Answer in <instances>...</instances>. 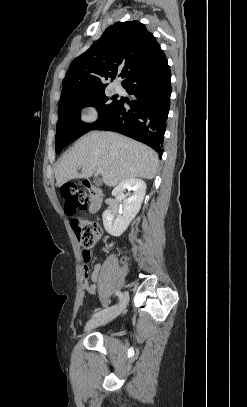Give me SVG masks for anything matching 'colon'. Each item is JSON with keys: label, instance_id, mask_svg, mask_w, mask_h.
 Returning a JSON list of instances; mask_svg holds the SVG:
<instances>
[{"label": "colon", "instance_id": "obj_1", "mask_svg": "<svg viewBox=\"0 0 247 407\" xmlns=\"http://www.w3.org/2000/svg\"><path fill=\"white\" fill-rule=\"evenodd\" d=\"M61 196L64 200V212L67 215H74L77 210L85 209L88 205L87 194L79 190L73 183H68L61 187ZM71 225L84 249L83 252L89 254L90 249L101 233L100 225L78 218L72 219Z\"/></svg>", "mask_w": 247, "mask_h": 407}]
</instances>
